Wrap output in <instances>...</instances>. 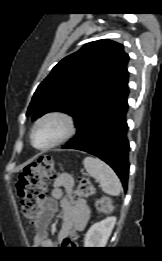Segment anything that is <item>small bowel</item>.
Returning a JSON list of instances; mask_svg holds the SVG:
<instances>
[{
    "mask_svg": "<svg viewBox=\"0 0 162 261\" xmlns=\"http://www.w3.org/2000/svg\"><path fill=\"white\" fill-rule=\"evenodd\" d=\"M73 178L69 174L60 175L53 186L51 197L46 199L44 210L37 222L38 233L34 237L33 244L44 249L53 248L54 242L44 234L46 228L58 210V202L61 203L62 227L59 239L64 241L72 232L82 231L90 219V209L83 200L73 197Z\"/></svg>",
    "mask_w": 162,
    "mask_h": 261,
    "instance_id": "1",
    "label": "small bowel"
}]
</instances>
